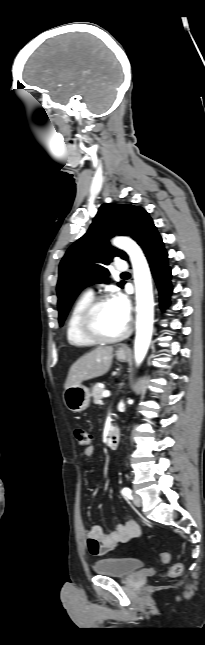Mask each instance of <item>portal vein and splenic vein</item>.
I'll return each mask as SVG.
<instances>
[{
	"label": "portal vein and splenic vein",
	"instance_id": "obj_1",
	"mask_svg": "<svg viewBox=\"0 0 205 645\" xmlns=\"http://www.w3.org/2000/svg\"><path fill=\"white\" fill-rule=\"evenodd\" d=\"M102 395H103V397H109L110 396V391L104 390Z\"/></svg>",
	"mask_w": 205,
	"mask_h": 645
}]
</instances>
